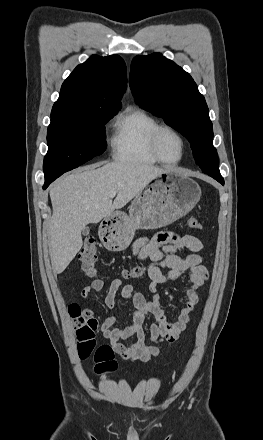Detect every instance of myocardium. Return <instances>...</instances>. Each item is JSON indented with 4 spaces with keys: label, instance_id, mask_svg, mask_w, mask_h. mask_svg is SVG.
<instances>
[{
    "label": "myocardium",
    "instance_id": "myocardium-1",
    "mask_svg": "<svg viewBox=\"0 0 263 440\" xmlns=\"http://www.w3.org/2000/svg\"><path fill=\"white\" fill-rule=\"evenodd\" d=\"M164 131H169V132L173 133L175 136L178 137V139L181 142V155L175 161H168V160L164 159L163 156L160 153L158 143H159L160 135ZM186 148H187V143H186L185 137L182 135V133L180 131H178L175 127H173L171 125L159 124L151 133V136H150V150H151L152 154L154 155V157L159 162H161L163 164L174 165V164H178L179 162H181L182 159L185 156Z\"/></svg>",
    "mask_w": 263,
    "mask_h": 440
}]
</instances>
